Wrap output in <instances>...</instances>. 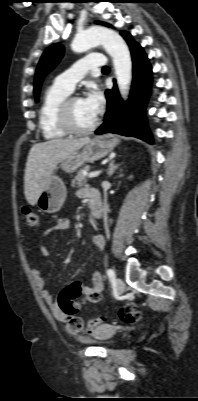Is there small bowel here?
<instances>
[{
  "mask_svg": "<svg viewBox=\"0 0 198 401\" xmlns=\"http://www.w3.org/2000/svg\"><path fill=\"white\" fill-rule=\"evenodd\" d=\"M93 193H98L96 190L93 189H85L79 192L80 196H87L89 197ZM69 227V220L67 218H59L54 222V224L47 229L45 232L46 236L54 235L59 231L65 230ZM95 244L100 248L103 249L105 245V240L102 235H97L94 238ZM41 253L44 256L49 255V248L46 245L41 247ZM32 276L36 283V286L41 292L43 299L46 303L50 306L54 315L60 320L66 323V330L68 333L72 335H84L90 334L95 335L97 332L104 327L103 325L96 323L94 321L88 322L84 326H79L78 324V317L77 313L73 315H69L63 312L60 306L55 302L52 294L49 290L45 288L44 279L41 276L40 272L33 267L32 268ZM102 291H103V280L102 276L99 271H95L92 274L90 285L85 286L79 282H76V292L72 302L77 306L78 311L80 307L87 303H97L102 298Z\"/></svg>",
  "mask_w": 198,
  "mask_h": 401,
  "instance_id": "obj_1",
  "label": "small bowel"
}]
</instances>
